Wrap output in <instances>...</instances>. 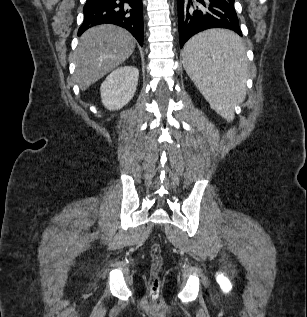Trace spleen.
I'll return each mask as SVG.
<instances>
[{"label":"spleen","mask_w":307,"mask_h":317,"mask_svg":"<svg viewBox=\"0 0 307 317\" xmlns=\"http://www.w3.org/2000/svg\"><path fill=\"white\" fill-rule=\"evenodd\" d=\"M246 42L238 33L214 26L192 37L183 49V65L212 108L227 121L246 95Z\"/></svg>","instance_id":"3e777b00"}]
</instances>
